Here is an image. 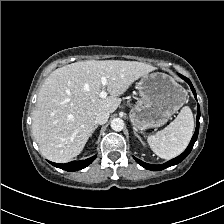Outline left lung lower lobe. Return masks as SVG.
I'll use <instances>...</instances> for the list:
<instances>
[{
    "label": "left lung lower lobe",
    "mask_w": 224,
    "mask_h": 224,
    "mask_svg": "<svg viewBox=\"0 0 224 224\" xmlns=\"http://www.w3.org/2000/svg\"><path fill=\"white\" fill-rule=\"evenodd\" d=\"M182 79H184L191 87L192 89V92L196 98V92L194 90V87L192 85V83L190 82V80L184 76H182L181 74H178ZM197 110H198V114H197V124H196V130H195V133L191 139V142L189 144V146L187 147V149L178 157L166 162L165 164H162V165H152V164H147L145 162H142L141 160L137 159L134 157V159L137 161V163H139L142 167L146 168V169H149V170H153V171H160V170H163L167 167H170V166H173V165H176L178 163H180L183 159L186 158V156L190 153V151L192 150L193 148V145L195 143V141L197 140V136H198V131H199V118H200V108H199V105L197 107Z\"/></svg>",
    "instance_id": "0a47b994"
}]
</instances>
